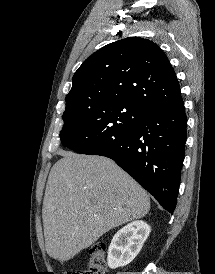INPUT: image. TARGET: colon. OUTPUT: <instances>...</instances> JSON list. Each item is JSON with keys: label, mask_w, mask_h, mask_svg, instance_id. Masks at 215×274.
<instances>
[{"label": "colon", "mask_w": 215, "mask_h": 274, "mask_svg": "<svg viewBox=\"0 0 215 274\" xmlns=\"http://www.w3.org/2000/svg\"><path fill=\"white\" fill-rule=\"evenodd\" d=\"M105 255V244L96 243L90 249L88 269L82 272L69 271L66 274H105L107 270Z\"/></svg>", "instance_id": "5ec220e1"}]
</instances>
